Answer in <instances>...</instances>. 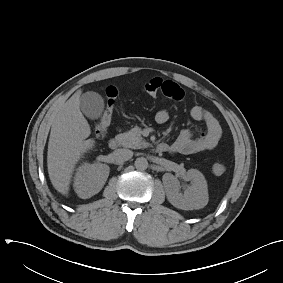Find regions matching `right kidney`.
I'll use <instances>...</instances> for the list:
<instances>
[{
  "instance_id": "right-kidney-1",
  "label": "right kidney",
  "mask_w": 283,
  "mask_h": 283,
  "mask_svg": "<svg viewBox=\"0 0 283 283\" xmlns=\"http://www.w3.org/2000/svg\"><path fill=\"white\" fill-rule=\"evenodd\" d=\"M109 176V167L101 163H83L78 167L74 177V188L77 195L87 199L97 194Z\"/></svg>"
}]
</instances>
